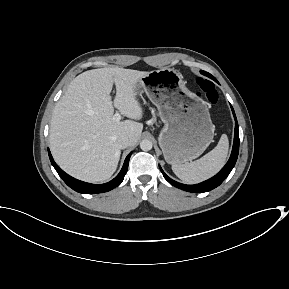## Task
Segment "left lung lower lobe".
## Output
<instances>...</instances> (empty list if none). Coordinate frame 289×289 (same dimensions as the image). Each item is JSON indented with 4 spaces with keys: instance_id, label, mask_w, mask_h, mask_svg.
<instances>
[{
    "instance_id": "left-lung-lower-lobe-1",
    "label": "left lung lower lobe",
    "mask_w": 289,
    "mask_h": 289,
    "mask_svg": "<svg viewBox=\"0 0 289 289\" xmlns=\"http://www.w3.org/2000/svg\"><path fill=\"white\" fill-rule=\"evenodd\" d=\"M234 118H235V134H234V143H233V148H232V153L230 156L229 161L227 162V164L222 168V170L215 175L214 177L199 183V184H195V185H185V184H181L178 183L174 180H172L171 178H169L164 172L163 170L160 168L163 176L165 177V179L172 184L173 186L188 191V192H192V193H203V192H207L210 191L214 188H216L217 186H219L226 178L227 176L230 174L231 170L233 169L237 157H238V153H239V131H238V122L236 119V115L235 112L233 110V107L231 106Z\"/></svg>"
}]
</instances>
